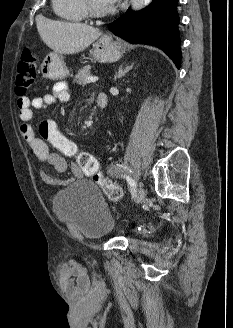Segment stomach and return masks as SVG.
I'll use <instances>...</instances> for the list:
<instances>
[{"mask_svg": "<svg viewBox=\"0 0 233 328\" xmlns=\"http://www.w3.org/2000/svg\"><path fill=\"white\" fill-rule=\"evenodd\" d=\"M124 50L125 47L120 40H114L112 35L105 34L93 44L92 55L102 62H115L122 57ZM40 71L44 78L52 80L63 79L69 74L63 57L56 52H51L44 58Z\"/></svg>", "mask_w": 233, "mask_h": 328, "instance_id": "1", "label": "stomach"}]
</instances>
